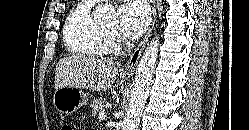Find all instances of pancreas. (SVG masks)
I'll list each match as a JSON object with an SVG mask.
<instances>
[{"mask_svg":"<svg viewBox=\"0 0 249 130\" xmlns=\"http://www.w3.org/2000/svg\"><path fill=\"white\" fill-rule=\"evenodd\" d=\"M105 99L104 98H96L93 100L92 104H90V107L92 108V116L96 117L98 113L104 112L105 108Z\"/></svg>","mask_w":249,"mask_h":130,"instance_id":"obj_1","label":"pancreas"}]
</instances>
